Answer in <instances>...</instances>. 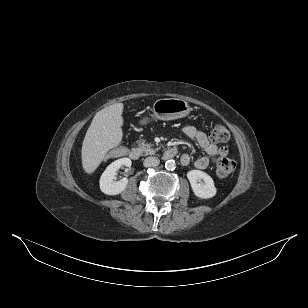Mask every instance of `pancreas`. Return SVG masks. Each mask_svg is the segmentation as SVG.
Returning <instances> with one entry per match:
<instances>
[{"instance_id": "pancreas-1", "label": "pancreas", "mask_w": 308, "mask_h": 308, "mask_svg": "<svg viewBox=\"0 0 308 308\" xmlns=\"http://www.w3.org/2000/svg\"><path fill=\"white\" fill-rule=\"evenodd\" d=\"M152 146V144L145 143L144 141H139V147L143 151L144 155H154L156 151L160 149V147L153 149Z\"/></svg>"}]
</instances>
